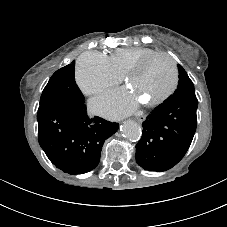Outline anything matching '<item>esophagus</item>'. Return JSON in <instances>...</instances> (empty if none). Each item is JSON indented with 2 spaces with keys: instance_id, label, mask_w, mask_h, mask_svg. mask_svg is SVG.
Listing matches in <instances>:
<instances>
[{
  "instance_id": "esophagus-1",
  "label": "esophagus",
  "mask_w": 227,
  "mask_h": 227,
  "mask_svg": "<svg viewBox=\"0 0 227 227\" xmlns=\"http://www.w3.org/2000/svg\"><path fill=\"white\" fill-rule=\"evenodd\" d=\"M137 122L142 123L145 120V116H138L135 118Z\"/></svg>"
}]
</instances>
